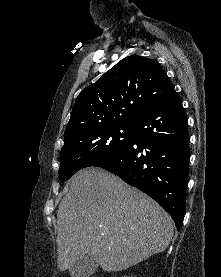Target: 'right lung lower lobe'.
Masks as SVG:
<instances>
[{"instance_id": "1", "label": "right lung lower lobe", "mask_w": 221, "mask_h": 277, "mask_svg": "<svg viewBox=\"0 0 221 277\" xmlns=\"http://www.w3.org/2000/svg\"><path fill=\"white\" fill-rule=\"evenodd\" d=\"M130 144L96 163L157 201L180 229L188 183L189 134L182 102L174 90L133 123Z\"/></svg>"}]
</instances>
